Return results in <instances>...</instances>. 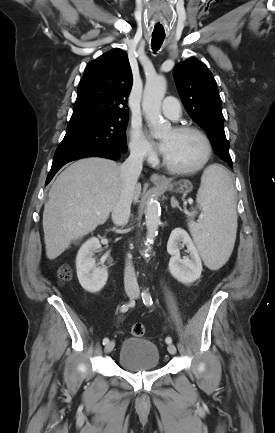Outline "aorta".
I'll list each match as a JSON object with an SVG mask.
<instances>
[{"instance_id":"762f6f07","label":"aorta","mask_w":275,"mask_h":433,"mask_svg":"<svg viewBox=\"0 0 275 433\" xmlns=\"http://www.w3.org/2000/svg\"><path fill=\"white\" fill-rule=\"evenodd\" d=\"M165 92L166 81L163 76H154L146 80L142 110L155 138H161L171 128L170 123L165 121L161 114V103ZM160 215V204L156 200L150 199L145 208L147 243L151 244L158 233Z\"/></svg>"}]
</instances>
